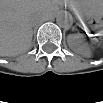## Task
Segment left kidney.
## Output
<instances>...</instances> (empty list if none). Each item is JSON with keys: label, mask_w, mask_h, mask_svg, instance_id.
Wrapping results in <instances>:
<instances>
[{"label": "left kidney", "mask_w": 103, "mask_h": 103, "mask_svg": "<svg viewBox=\"0 0 103 103\" xmlns=\"http://www.w3.org/2000/svg\"><path fill=\"white\" fill-rule=\"evenodd\" d=\"M68 45L76 52L82 53L86 50V47L83 41L80 39L79 36L76 35H69L68 36Z\"/></svg>", "instance_id": "1"}]
</instances>
